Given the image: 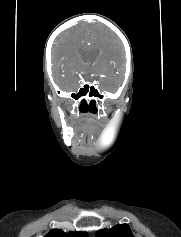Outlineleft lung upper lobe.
<instances>
[{"mask_svg": "<svg viewBox=\"0 0 181 237\" xmlns=\"http://www.w3.org/2000/svg\"><path fill=\"white\" fill-rule=\"evenodd\" d=\"M96 237H134L129 225L119 224L111 229H101L96 232Z\"/></svg>", "mask_w": 181, "mask_h": 237, "instance_id": "5c2ea615", "label": "left lung upper lobe"}]
</instances>
